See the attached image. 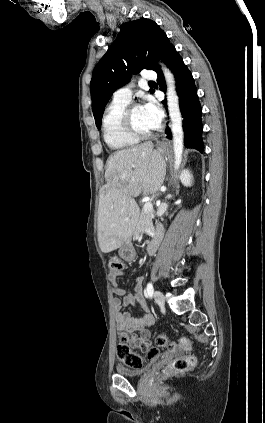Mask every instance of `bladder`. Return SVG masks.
<instances>
[{"label":"bladder","instance_id":"bladder-1","mask_svg":"<svg viewBox=\"0 0 265 423\" xmlns=\"http://www.w3.org/2000/svg\"><path fill=\"white\" fill-rule=\"evenodd\" d=\"M146 370H147L146 367L131 369V368L123 367L121 365L116 366L117 373L119 375L127 376V377H141L144 375Z\"/></svg>","mask_w":265,"mask_h":423}]
</instances>
